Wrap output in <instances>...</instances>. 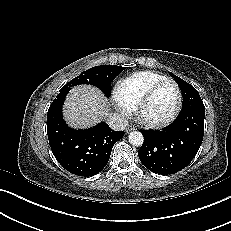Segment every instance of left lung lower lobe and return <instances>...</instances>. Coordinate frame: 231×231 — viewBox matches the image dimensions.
<instances>
[{"mask_svg":"<svg viewBox=\"0 0 231 231\" xmlns=\"http://www.w3.org/2000/svg\"><path fill=\"white\" fill-rule=\"evenodd\" d=\"M205 106L194 105L181 111L163 130H141L144 143L138 151L150 171L169 175L184 169L197 154L204 134Z\"/></svg>","mask_w":231,"mask_h":231,"instance_id":"left-lung-lower-lobe-1","label":"left lung lower lobe"}]
</instances>
